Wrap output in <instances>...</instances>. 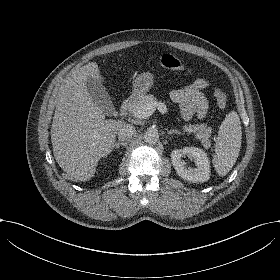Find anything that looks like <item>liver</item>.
Instances as JSON below:
<instances>
[{
  "instance_id": "6515ba94",
  "label": "liver",
  "mask_w": 280,
  "mask_h": 280,
  "mask_svg": "<svg viewBox=\"0 0 280 280\" xmlns=\"http://www.w3.org/2000/svg\"><path fill=\"white\" fill-rule=\"evenodd\" d=\"M88 77H98L95 63L72 72L61 84L55 99L51 140L58 164L74 178L88 180L100 157L113 149L122 122L105 120L103 111L87 91Z\"/></svg>"
}]
</instances>
